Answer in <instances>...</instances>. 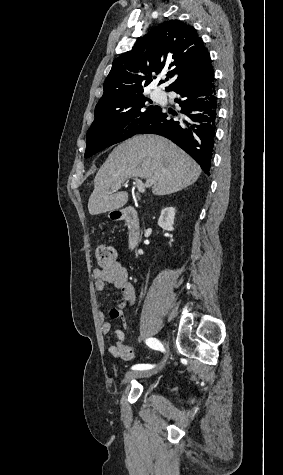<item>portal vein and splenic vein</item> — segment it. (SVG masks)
Segmentation results:
<instances>
[{
	"label": "portal vein and splenic vein",
	"instance_id": "1",
	"mask_svg": "<svg viewBox=\"0 0 283 475\" xmlns=\"http://www.w3.org/2000/svg\"><path fill=\"white\" fill-rule=\"evenodd\" d=\"M133 180V184H136L138 192H145V188H149V186H152L151 180H147L146 184H142L141 180H138V178H133ZM120 186L121 184H118L117 188H120Z\"/></svg>",
	"mask_w": 283,
	"mask_h": 475
}]
</instances>
